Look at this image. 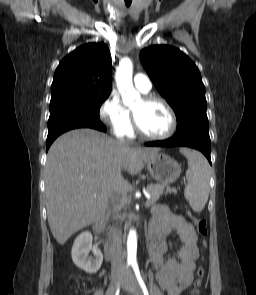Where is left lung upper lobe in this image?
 I'll list each match as a JSON object with an SVG mask.
<instances>
[{"mask_svg":"<svg viewBox=\"0 0 256 295\" xmlns=\"http://www.w3.org/2000/svg\"><path fill=\"white\" fill-rule=\"evenodd\" d=\"M140 59L153 84L176 114L175 135L191 130L208 132L205 87L195 63L168 45L145 48Z\"/></svg>","mask_w":256,"mask_h":295,"instance_id":"1","label":"left lung upper lobe"}]
</instances>
